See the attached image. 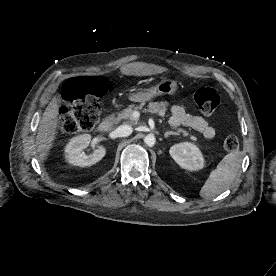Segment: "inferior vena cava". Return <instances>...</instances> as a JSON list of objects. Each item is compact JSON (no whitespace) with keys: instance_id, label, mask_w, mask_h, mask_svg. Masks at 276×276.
<instances>
[{"instance_id":"inferior-vena-cava-1","label":"inferior vena cava","mask_w":276,"mask_h":276,"mask_svg":"<svg viewBox=\"0 0 276 276\" xmlns=\"http://www.w3.org/2000/svg\"><path fill=\"white\" fill-rule=\"evenodd\" d=\"M132 131H133V128L129 125H120L116 129V133L118 137H127L132 133Z\"/></svg>"}]
</instances>
